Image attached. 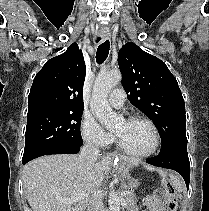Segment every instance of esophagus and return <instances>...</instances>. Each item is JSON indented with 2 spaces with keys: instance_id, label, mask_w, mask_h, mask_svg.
I'll list each match as a JSON object with an SVG mask.
<instances>
[{
  "instance_id": "1",
  "label": "esophagus",
  "mask_w": 209,
  "mask_h": 211,
  "mask_svg": "<svg viewBox=\"0 0 209 211\" xmlns=\"http://www.w3.org/2000/svg\"><path fill=\"white\" fill-rule=\"evenodd\" d=\"M110 36V32L108 30H101V37L103 39H107ZM99 41V39H98Z\"/></svg>"
}]
</instances>
